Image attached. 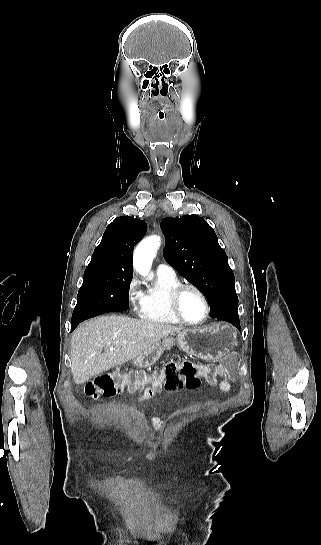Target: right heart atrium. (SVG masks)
<instances>
[{"label":"right heart atrium","instance_id":"1","mask_svg":"<svg viewBox=\"0 0 321 545\" xmlns=\"http://www.w3.org/2000/svg\"><path fill=\"white\" fill-rule=\"evenodd\" d=\"M126 298L133 312H140L144 294L135 276H131L126 285Z\"/></svg>","mask_w":321,"mask_h":545}]
</instances>
